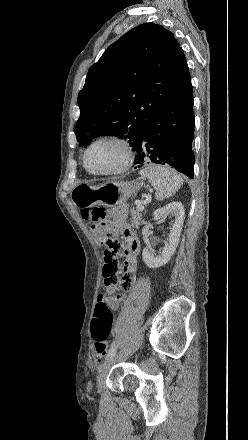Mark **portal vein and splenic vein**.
Returning <instances> with one entry per match:
<instances>
[{
	"label": "portal vein and splenic vein",
	"mask_w": 248,
	"mask_h": 440,
	"mask_svg": "<svg viewBox=\"0 0 248 440\" xmlns=\"http://www.w3.org/2000/svg\"><path fill=\"white\" fill-rule=\"evenodd\" d=\"M137 209H138L139 211H143V209H144V204H143V203H142V204H138Z\"/></svg>",
	"instance_id": "portal-vein-and-splenic-vein-1"
}]
</instances>
